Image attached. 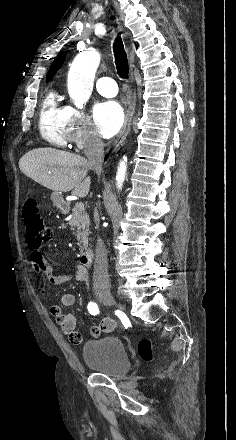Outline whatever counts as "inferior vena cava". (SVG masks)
Here are the masks:
<instances>
[{"instance_id": "inferior-vena-cava-1", "label": "inferior vena cava", "mask_w": 236, "mask_h": 440, "mask_svg": "<svg viewBox=\"0 0 236 440\" xmlns=\"http://www.w3.org/2000/svg\"><path fill=\"white\" fill-rule=\"evenodd\" d=\"M84 152L87 156L90 169L95 171L97 175H100L104 158L103 141L97 135H92L87 140ZM96 227H99V223L96 224ZM93 287L94 289H108L110 287V280L108 276L107 251L104 242L100 237H98L97 239L95 250Z\"/></svg>"}]
</instances>
